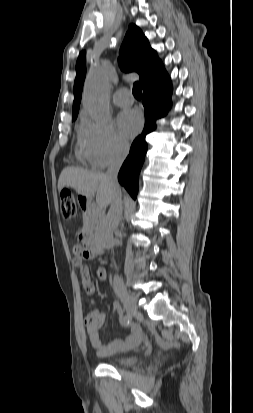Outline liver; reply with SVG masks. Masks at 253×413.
I'll return each instance as SVG.
<instances>
[{
	"label": "liver",
	"instance_id": "liver-1",
	"mask_svg": "<svg viewBox=\"0 0 253 413\" xmlns=\"http://www.w3.org/2000/svg\"><path fill=\"white\" fill-rule=\"evenodd\" d=\"M73 188L78 194L92 198L96 194V203L100 209L112 204L116 190L106 175L76 167L64 168L58 180V190Z\"/></svg>",
	"mask_w": 253,
	"mask_h": 413
}]
</instances>
